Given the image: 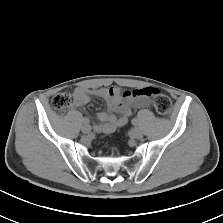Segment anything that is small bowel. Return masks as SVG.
<instances>
[{
    "label": "small bowel",
    "mask_w": 223,
    "mask_h": 223,
    "mask_svg": "<svg viewBox=\"0 0 223 223\" xmlns=\"http://www.w3.org/2000/svg\"><path fill=\"white\" fill-rule=\"evenodd\" d=\"M152 88H139L131 91H122L118 87H102L88 89L78 87L74 90L75 106L82 108L92 97L106 102L107 109L97 113L98 123L94 124V130L98 133H112L118 127L125 124L132 115V109H144L149 106V96ZM86 123L89 119L84 118Z\"/></svg>",
    "instance_id": "1"
}]
</instances>
